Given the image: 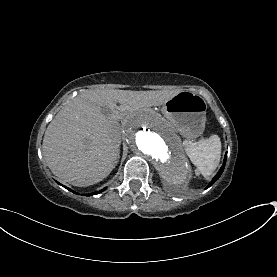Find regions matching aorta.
<instances>
[{
  "label": "aorta",
  "instance_id": "762f6f07",
  "mask_svg": "<svg viewBox=\"0 0 277 277\" xmlns=\"http://www.w3.org/2000/svg\"><path fill=\"white\" fill-rule=\"evenodd\" d=\"M126 141L137 155L147 160L161 178L171 185H181L190 175L179 137L159 114L143 111L127 124Z\"/></svg>",
  "mask_w": 277,
  "mask_h": 277
}]
</instances>
